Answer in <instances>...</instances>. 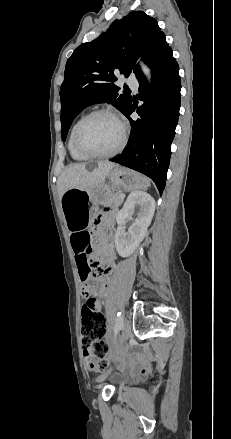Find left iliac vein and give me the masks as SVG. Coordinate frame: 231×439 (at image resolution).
<instances>
[{
	"label": "left iliac vein",
	"instance_id": "obj_1",
	"mask_svg": "<svg viewBox=\"0 0 231 439\" xmlns=\"http://www.w3.org/2000/svg\"><path fill=\"white\" fill-rule=\"evenodd\" d=\"M130 335H131L130 322L127 319H125L122 325V336H121V340L123 344H125L128 341Z\"/></svg>",
	"mask_w": 231,
	"mask_h": 439
}]
</instances>
